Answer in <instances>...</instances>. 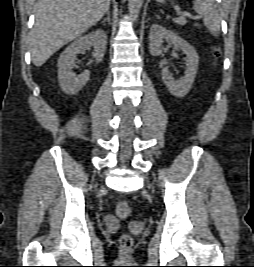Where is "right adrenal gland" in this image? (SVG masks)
<instances>
[{
	"label": "right adrenal gland",
	"mask_w": 254,
	"mask_h": 267,
	"mask_svg": "<svg viewBox=\"0 0 254 267\" xmlns=\"http://www.w3.org/2000/svg\"><path fill=\"white\" fill-rule=\"evenodd\" d=\"M106 14H107V17L103 19L102 23H105L106 21L110 23V11L108 10Z\"/></svg>",
	"instance_id": "right-adrenal-gland-1"
}]
</instances>
